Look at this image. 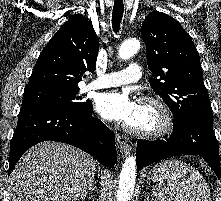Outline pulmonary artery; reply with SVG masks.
<instances>
[{
    "label": "pulmonary artery",
    "instance_id": "e3ab8cb5",
    "mask_svg": "<svg viewBox=\"0 0 221 201\" xmlns=\"http://www.w3.org/2000/svg\"><path fill=\"white\" fill-rule=\"evenodd\" d=\"M142 77L141 67L130 64L126 69L99 76L86 86V90L113 87L123 84L135 83Z\"/></svg>",
    "mask_w": 221,
    "mask_h": 201
}]
</instances>
